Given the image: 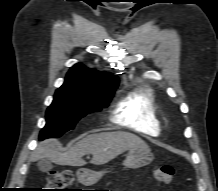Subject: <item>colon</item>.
<instances>
[{"instance_id":"obj_1","label":"colon","mask_w":218,"mask_h":191,"mask_svg":"<svg viewBox=\"0 0 218 191\" xmlns=\"http://www.w3.org/2000/svg\"><path fill=\"white\" fill-rule=\"evenodd\" d=\"M174 169L170 165H163L155 169V179L164 184L172 181ZM72 181V174L68 170L52 171L47 175L46 191H71L68 189Z\"/></svg>"}]
</instances>
